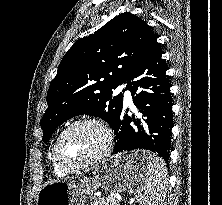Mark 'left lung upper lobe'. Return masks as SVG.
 <instances>
[{
	"mask_svg": "<svg viewBox=\"0 0 222 205\" xmlns=\"http://www.w3.org/2000/svg\"><path fill=\"white\" fill-rule=\"evenodd\" d=\"M152 33L145 21L126 12L77 40L61 60L48 89V108L41 120L43 142L77 115L99 116L113 128L122 111L123 94L112 96V90L126 82Z\"/></svg>",
	"mask_w": 222,
	"mask_h": 205,
	"instance_id": "1",
	"label": "left lung upper lobe"
}]
</instances>
